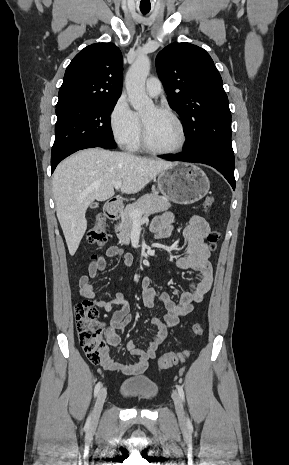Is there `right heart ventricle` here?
<instances>
[{"instance_id": "obj_1", "label": "right heart ventricle", "mask_w": 289, "mask_h": 465, "mask_svg": "<svg viewBox=\"0 0 289 465\" xmlns=\"http://www.w3.org/2000/svg\"><path fill=\"white\" fill-rule=\"evenodd\" d=\"M128 148L133 151L139 150L141 148L140 134L132 141Z\"/></svg>"}]
</instances>
